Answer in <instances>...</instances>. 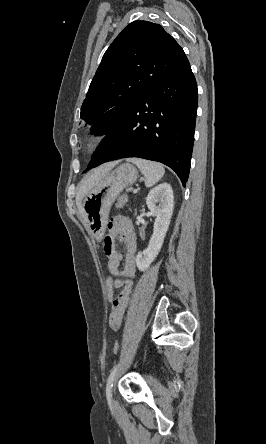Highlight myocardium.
I'll list each match as a JSON object with an SVG mask.
<instances>
[{
    "label": "myocardium",
    "mask_w": 266,
    "mask_h": 444,
    "mask_svg": "<svg viewBox=\"0 0 266 444\" xmlns=\"http://www.w3.org/2000/svg\"><path fill=\"white\" fill-rule=\"evenodd\" d=\"M104 134H96L91 136L86 142V149L88 151H94L103 141Z\"/></svg>",
    "instance_id": "obj_1"
}]
</instances>
